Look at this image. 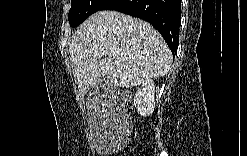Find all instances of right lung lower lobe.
Listing matches in <instances>:
<instances>
[{
  "label": "right lung lower lobe",
  "mask_w": 247,
  "mask_h": 156,
  "mask_svg": "<svg viewBox=\"0 0 247 156\" xmlns=\"http://www.w3.org/2000/svg\"><path fill=\"white\" fill-rule=\"evenodd\" d=\"M181 0H108L100 10L141 18L157 29L174 54L179 43Z\"/></svg>",
  "instance_id": "obj_1"
}]
</instances>
